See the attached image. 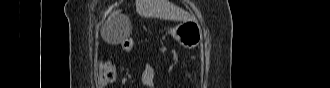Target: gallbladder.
Masks as SVG:
<instances>
[{"label": "gallbladder", "instance_id": "obj_1", "mask_svg": "<svg viewBox=\"0 0 330 88\" xmlns=\"http://www.w3.org/2000/svg\"><path fill=\"white\" fill-rule=\"evenodd\" d=\"M131 32V28H130V25L125 22V21H122V25L121 27L119 28V36H120V41H122L123 39H125Z\"/></svg>", "mask_w": 330, "mask_h": 88}]
</instances>
